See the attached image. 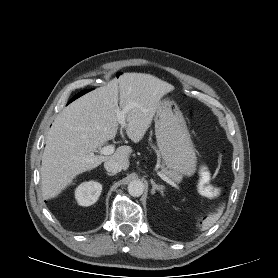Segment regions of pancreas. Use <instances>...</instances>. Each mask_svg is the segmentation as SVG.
Listing matches in <instances>:
<instances>
[{
    "instance_id": "1",
    "label": "pancreas",
    "mask_w": 278,
    "mask_h": 278,
    "mask_svg": "<svg viewBox=\"0 0 278 278\" xmlns=\"http://www.w3.org/2000/svg\"><path fill=\"white\" fill-rule=\"evenodd\" d=\"M162 174L170 178L172 181L179 183L182 180V175L173 170L162 168Z\"/></svg>"
}]
</instances>
